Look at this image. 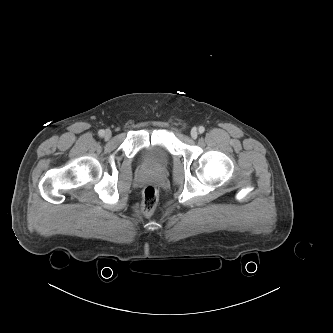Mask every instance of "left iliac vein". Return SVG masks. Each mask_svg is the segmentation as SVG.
<instances>
[{
	"mask_svg": "<svg viewBox=\"0 0 333 333\" xmlns=\"http://www.w3.org/2000/svg\"><path fill=\"white\" fill-rule=\"evenodd\" d=\"M191 137H192L193 139H196V138L198 137V132H197V129H196V128H193V129L191 130Z\"/></svg>",
	"mask_w": 333,
	"mask_h": 333,
	"instance_id": "4c4485c4",
	"label": "left iliac vein"
}]
</instances>
